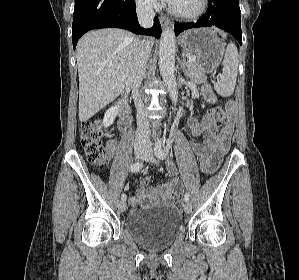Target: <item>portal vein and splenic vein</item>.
Wrapping results in <instances>:
<instances>
[{"label": "portal vein and splenic vein", "mask_w": 299, "mask_h": 280, "mask_svg": "<svg viewBox=\"0 0 299 280\" xmlns=\"http://www.w3.org/2000/svg\"><path fill=\"white\" fill-rule=\"evenodd\" d=\"M196 58L193 56L188 57V61H194Z\"/></svg>", "instance_id": "1"}]
</instances>
